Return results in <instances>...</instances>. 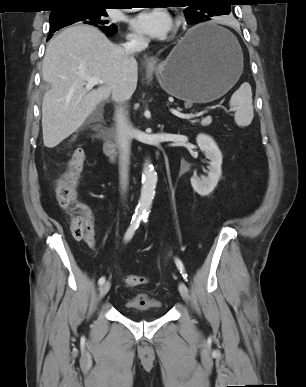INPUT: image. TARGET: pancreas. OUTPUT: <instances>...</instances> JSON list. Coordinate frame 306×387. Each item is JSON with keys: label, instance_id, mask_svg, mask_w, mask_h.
<instances>
[{"label": "pancreas", "instance_id": "1", "mask_svg": "<svg viewBox=\"0 0 306 387\" xmlns=\"http://www.w3.org/2000/svg\"><path fill=\"white\" fill-rule=\"evenodd\" d=\"M190 122L192 124L200 122L202 126H207V125H209L212 122V119L207 117V118L202 119L201 121H199V120H191Z\"/></svg>", "mask_w": 306, "mask_h": 387}]
</instances>
